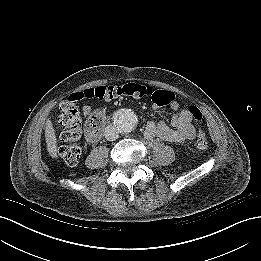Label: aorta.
<instances>
[{
	"instance_id": "obj_1",
	"label": "aorta",
	"mask_w": 261,
	"mask_h": 261,
	"mask_svg": "<svg viewBox=\"0 0 261 261\" xmlns=\"http://www.w3.org/2000/svg\"><path fill=\"white\" fill-rule=\"evenodd\" d=\"M137 122V114L130 108H122L114 115V124L121 133H129L133 131L137 126Z\"/></svg>"
}]
</instances>
